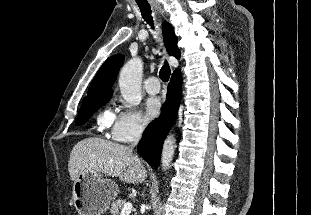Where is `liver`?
Masks as SVG:
<instances>
[{
	"instance_id": "liver-1",
	"label": "liver",
	"mask_w": 311,
	"mask_h": 215,
	"mask_svg": "<svg viewBox=\"0 0 311 215\" xmlns=\"http://www.w3.org/2000/svg\"><path fill=\"white\" fill-rule=\"evenodd\" d=\"M68 170L72 181L86 171L119 177L129 184L142 183L147 177V171L130 147L98 137L85 138L73 147Z\"/></svg>"
}]
</instances>
